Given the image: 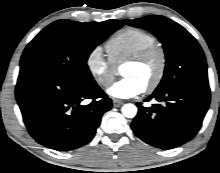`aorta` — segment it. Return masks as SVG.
<instances>
[{
  "label": "aorta",
  "instance_id": "762f6f07",
  "mask_svg": "<svg viewBox=\"0 0 220 173\" xmlns=\"http://www.w3.org/2000/svg\"><path fill=\"white\" fill-rule=\"evenodd\" d=\"M122 114L126 118H134L137 114V108L134 104L128 103L122 107Z\"/></svg>",
  "mask_w": 220,
  "mask_h": 173
}]
</instances>
